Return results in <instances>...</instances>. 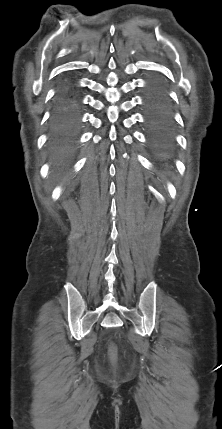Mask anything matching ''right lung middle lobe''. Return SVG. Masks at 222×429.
<instances>
[{
  "label": "right lung middle lobe",
  "mask_w": 222,
  "mask_h": 429,
  "mask_svg": "<svg viewBox=\"0 0 222 429\" xmlns=\"http://www.w3.org/2000/svg\"><path fill=\"white\" fill-rule=\"evenodd\" d=\"M52 124V122H51ZM53 133H54V140L55 142L59 143L63 139H65L69 134L66 132L60 130L59 128H56L55 126H52Z\"/></svg>",
  "instance_id": "dd1d6c3e"
}]
</instances>
